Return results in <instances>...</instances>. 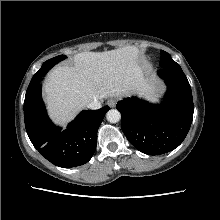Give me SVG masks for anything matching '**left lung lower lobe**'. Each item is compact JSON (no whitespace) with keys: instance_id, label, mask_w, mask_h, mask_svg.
I'll return each mask as SVG.
<instances>
[{"instance_id":"0a47b994","label":"left lung lower lobe","mask_w":220,"mask_h":220,"mask_svg":"<svg viewBox=\"0 0 220 220\" xmlns=\"http://www.w3.org/2000/svg\"><path fill=\"white\" fill-rule=\"evenodd\" d=\"M158 75L167 85L160 105L136 97L117 103L122 131L134 147L148 155L177 148L190 129L194 112L191 87L182 69L162 68Z\"/></svg>"}]
</instances>
